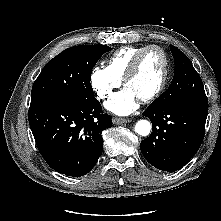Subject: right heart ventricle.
I'll return each mask as SVG.
<instances>
[{"mask_svg": "<svg viewBox=\"0 0 221 221\" xmlns=\"http://www.w3.org/2000/svg\"><path fill=\"white\" fill-rule=\"evenodd\" d=\"M145 47L147 46H128L118 49L110 57L107 68L115 77L121 80L129 68L134 56Z\"/></svg>", "mask_w": 221, "mask_h": 221, "instance_id": "obj_1", "label": "right heart ventricle"}]
</instances>
